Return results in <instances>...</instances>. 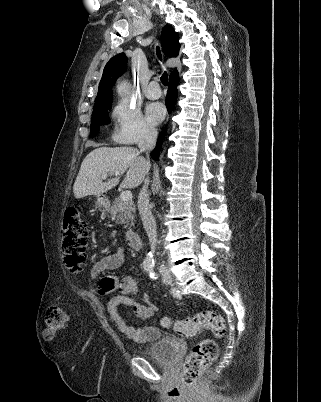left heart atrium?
I'll use <instances>...</instances> for the list:
<instances>
[{"label": "left heart atrium", "instance_id": "obj_1", "mask_svg": "<svg viewBox=\"0 0 321 402\" xmlns=\"http://www.w3.org/2000/svg\"><path fill=\"white\" fill-rule=\"evenodd\" d=\"M165 115V108L161 103H151L146 108V116L150 123H159Z\"/></svg>", "mask_w": 321, "mask_h": 402}]
</instances>
